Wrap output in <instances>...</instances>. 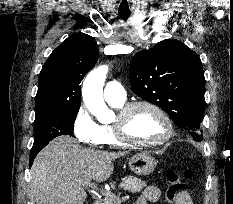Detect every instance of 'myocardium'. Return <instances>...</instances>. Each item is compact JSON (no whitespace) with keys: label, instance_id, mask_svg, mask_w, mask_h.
<instances>
[{"label":"myocardium","instance_id":"myocardium-1","mask_svg":"<svg viewBox=\"0 0 233 204\" xmlns=\"http://www.w3.org/2000/svg\"><path fill=\"white\" fill-rule=\"evenodd\" d=\"M141 107L151 109L162 118L167 128V132L162 138L154 141H145V140H137L130 137V135L127 132V125L129 118L137 108H141ZM113 127L119 141L124 145H128V146H141V147L158 146L168 142L174 135V126L169 115L157 104L146 100L132 101L123 105L118 111Z\"/></svg>","mask_w":233,"mask_h":204}]
</instances>
